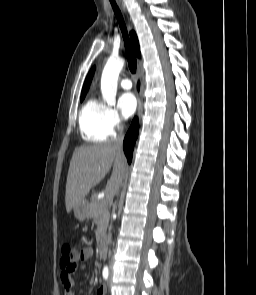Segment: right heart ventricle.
<instances>
[{
    "instance_id": "e07e8e85",
    "label": "right heart ventricle",
    "mask_w": 256,
    "mask_h": 295,
    "mask_svg": "<svg viewBox=\"0 0 256 295\" xmlns=\"http://www.w3.org/2000/svg\"><path fill=\"white\" fill-rule=\"evenodd\" d=\"M106 105L90 97L79 113V127L84 140L88 142H104L110 134L106 125Z\"/></svg>"
}]
</instances>
